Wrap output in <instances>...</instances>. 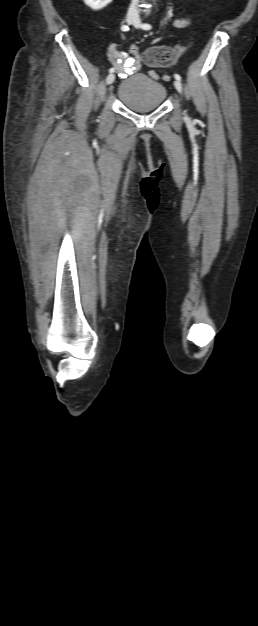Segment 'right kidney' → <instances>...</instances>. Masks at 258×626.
<instances>
[{"instance_id":"right-kidney-1","label":"right kidney","mask_w":258,"mask_h":626,"mask_svg":"<svg viewBox=\"0 0 258 626\" xmlns=\"http://www.w3.org/2000/svg\"><path fill=\"white\" fill-rule=\"evenodd\" d=\"M87 6L94 11H99L106 7L113 0H83Z\"/></svg>"}]
</instances>
